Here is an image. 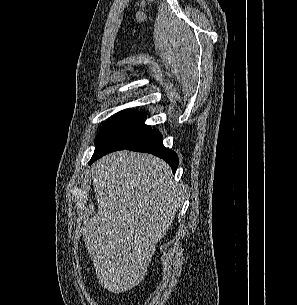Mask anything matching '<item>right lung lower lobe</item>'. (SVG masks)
Returning <instances> with one entry per match:
<instances>
[{"mask_svg":"<svg viewBox=\"0 0 297 305\" xmlns=\"http://www.w3.org/2000/svg\"><path fill=\"white\" fill-rule=\"evenodd\" d=\"M162 141L163 138L159 131H149L142 138L131 143L130 145L107 148L94 152V155L90 160V164L106 155L107 153H111L116 150L127 149L154 154L165 160L171 166L173 173H175L179 163L178 156L174 151L165 148Z\"/></svg>","mask_w":297,"mask_h":305,"instance_id":"right-lung-lower-lobe-1","label":"right lung lower lobe"}]
</instances>
